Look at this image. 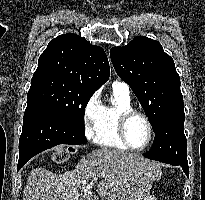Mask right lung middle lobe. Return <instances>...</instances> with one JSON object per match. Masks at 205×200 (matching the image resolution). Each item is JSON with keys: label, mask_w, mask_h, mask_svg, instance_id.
Instances as JSON below:
<instances>
[{"label": "right lung middle lobe", "mask_w": 205, "mask_h": 200, "mask_svg": "<svg viewBox=\"0 0 205 200\" xmlns=\"http://www.w3.org/2000/svg\"><path fill=\"white\" fill-rule=\"evenodd\" d=\"M95 91L74 82L46 77L31 80L27 102L44 105L84 131V111Z\"/></svg>", "instance_id": "obj_1"}]
</instances>
